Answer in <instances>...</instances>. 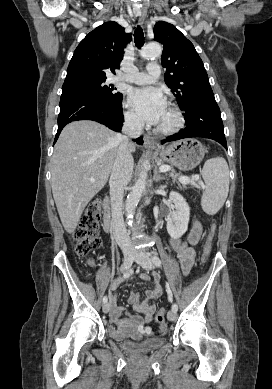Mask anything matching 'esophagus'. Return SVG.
<instances>
[{
	"label": "esophagus",
	"instance_id": "esophagus-1",
	"mask_svg": "<svg viewBox=\"0 0 272 389\" xmlns=\"http://www.w3.org/2000/svg\"><path fill=\"white\" fill-rule=\"evenodd\" d=\"M146 14H147L146 9H142L137 13V15L139 16V24L140 25H143ZM144 144L146 147H154L155 139L150 135H145L144 136Z\"/></svg>",
	"mask_w": 272,
	"mask_h": 389
}]
</instances>
